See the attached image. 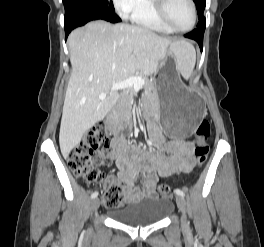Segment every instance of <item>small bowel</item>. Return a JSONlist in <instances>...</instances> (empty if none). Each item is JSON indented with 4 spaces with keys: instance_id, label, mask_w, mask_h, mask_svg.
Here are the masks:
<instances>
[{
    "instance_id": "obj_1",
    "label": "small bowel",
    "mask_w": 264,
    "mask_h": 247,
    "mask_svg": "<svg viewBox=\"0 0 264 247\" xmlns=\"http://www.w3.org/2000/svg\"><path fill=\"white\" fill-rule=\"evenodd\" d=\"M148 134L153 149L127 143L116 135L111 142L109 157L119 170L118 179L124 185L125 201L156 198L158 177L190 173L195 166L193 145L183 138L166 139L159 126L150 121ZM141 178V184L138 180Z\"/></svg>"
}]
</instances>
